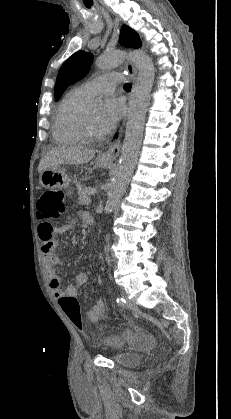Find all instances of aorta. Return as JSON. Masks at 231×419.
<instances>
[{"label": "aorta", "mask_w": 231, "mask_h": 419, "mask_svg": "<svg viewBox=\"0 0 231 419\" xmlns=\"http://www.w3.org/2000/svg\"><path fill=\"white\" fill-rule=\"evenodd\" d=\"M126 57H130L138 69V76L132 88L126 121L125 137L119 164L115 172L105 211L110 213L124 194L134 172L141 148L145 116L150 93L155 78V69L151 58L144 52L134 51L127 54L116 50L106 53L96 60V66L101 70L120 65Z\"/></svg>", "instance_id": "obj_1"}]
</instances>
